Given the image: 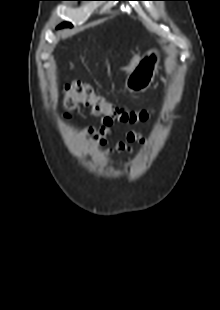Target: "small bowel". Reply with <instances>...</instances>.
<instances>
[{
  "label": "small bowel",
  "mask_w": 220,
  "mask_h": 310,
  "mask_svg": "<svg viewBox=\"0 0 220 310\" xmlns=\"http://www.w3.org/2000/svg\"><path fill=\"white\" fill-rule=\"evenodd\" d=\"M109 133V127L103 125L99 129L94 127H88L82 131V134L89 136L94 143H96L100 148H104L106 145L105 136ZM138 142L141 145L145 144V139L141 136L140 133L136 131H131L127 134L126 140L118 142L115 146L106 149L108 153L111 152H121L127 154H134L135 151L132 147V143Z\"/></svg>",
  "instance_id": "c3829d8e"
}]
</instances>
